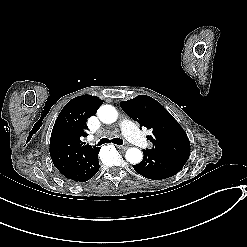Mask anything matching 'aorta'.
<instances>
[{
    "label": "aorta",
    "mask_w": 247,
    "mask_h": 247,
    "mask_svg": "<svg viewBox=\"0 0 247 247\" xmlns=\"http://www.w3.org/2000/svg\"><path fill=\"white\" fill-rule=\"evenodd\" d=\"M117 116L115 107L111 105H103L98 109V117L103 123H114ZM125 158L131 164H139L142 161L143 154L138 148H130L126 151Z\"/></svg>",
    "instance_id": "aorta-1"
}]
</instances>
